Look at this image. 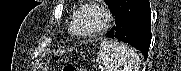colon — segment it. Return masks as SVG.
Returning <instances> with one entry per match:
<instances>
[{
  "label": "colon",
  "instance_id": "1",
  "mask_svg": "<svg viewBox=\"0 0 181 71\" xmlns=\"http://www.w3.org/2000/svg\"><path fill=\"white\" fill-rule=\"evenodd\" d=\"M62 71H85V70L75 65L67 64L62 67Z\"/></svg>",
  "mask_w": 181,
  "mask_h": 71
}]
</instances>
